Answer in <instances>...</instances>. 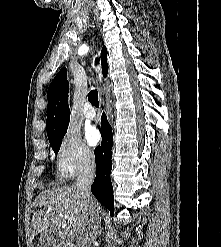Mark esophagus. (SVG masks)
<instances>
[{
  "label": "esophagus",
  "mask_w": 221,
  "mask_h": 247,
  "mask_svg": "<svg viewBox=\"0 0 221 247\" xmlns=\"http://www.w3.org/2000/svg\"><path fill=\"white\" fill-rule=\"evenodd\" d=\"M97 79H98V83L101 85L103 81V76L100 70L98 71Z\"/></svg>",
  "instance_id": "1"
}]
</instances>
